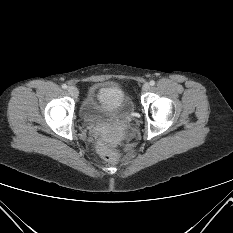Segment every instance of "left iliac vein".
Listing matches in <instances>:
<instances>
[{
    "label": "left iliac vein",
    "instance_id": "4c4485c4",
    "mask_svg": "<svg viewBox=\"0 0 233 233\" xmlns=\"http://www.w3.org/2000/svg\"><path fill=\"white\" fill-rule=\"evenodd\" d=\"M150 90V84L149 83H145L142 87V91L143 92H147Z\"/></svg>",
    "mask_w": 233,
    "mask_h": 233
}]
</instances>
